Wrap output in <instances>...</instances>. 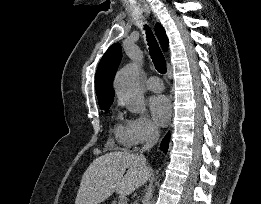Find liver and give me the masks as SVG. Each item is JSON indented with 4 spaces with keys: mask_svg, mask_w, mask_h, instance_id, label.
Segmentation results:
<instances>
[{
    "mask_svg": "<svg viewBox=\"0 0 261 204\" xmlns=\"http://www.w3.org/2000/svg\"><path fill=\"white\" fill-rule=\"evenodd\" d=\"M150 176L151 169L142 164L138 154L107 153L97 157L84 172L75 204H99L115 190L119 195H129Z\"/></svg>",
    "mask_w": 261,
    "mask_h": 204,
    "instance_id": "liver-1",
    "label": "liver"
}]
</instances>
